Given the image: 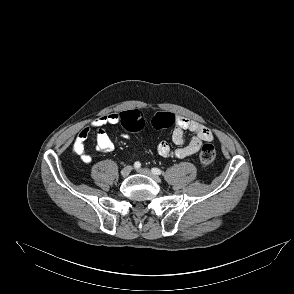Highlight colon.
<instances>
[{"label": "colon", "mask_w": 294, "mask_h": 294, "mask_svg": "<svg viewBox=\"0 0 294 294\" xmlns=\"http://www.w3.org/2000/svg\"><path fill=\"white\" fill-rule=\"evenodd\" d=\"M175 116L168 112H157L151 119V124L156 129H163L174 124ZM120 123L130 132H138L145 126L144 115L139 110H130L120 113ZM216 150L212 144H204L199 152V162L203 166L213 163Z\"/></svg>", "instance_id": "colon-1"}]
</instances>
